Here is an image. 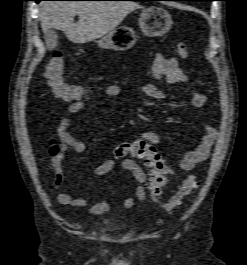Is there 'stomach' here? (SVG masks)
<instances>
[{"mask_svg":"<svg viewBox=\"0 0 247 265\" xmlns=\"http://www.w3.org/2000/svg\"><path fill=\"white\" fill-rule=\"evenodd\" d=\"M138 23L141 31L148 37L165 35L173 24L171 15L160 6L145 8L140 14ZM136 41L135 31L129 27L122 26L108 33L97 43L102 49L124 51L132 48Z\"/></svg>","mask_w":247,"mask_h":265,"instance_id":"stomach-1","label":"stomach"}]
</instances>
